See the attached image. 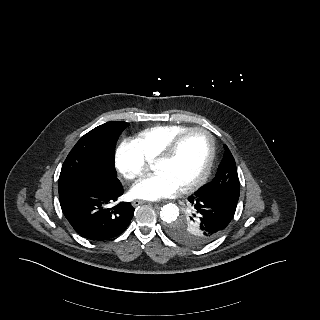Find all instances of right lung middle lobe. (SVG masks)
I'll return each mask as SVG.
<instances>
[{
  "instance_id": "1",
  "label": "right lung middle lobe",
  "mask_w": 320,
  "mask_h": 320,
  "mask_svg": "<svg viewBox=\"0 0 320 320\" xmlns=\"http://www.w3.org/2000/svg\"><path fill=\"white\" fill-rule=\"evenodd\" d=\"M127 126L124 121H111L82 136L62 166L58 188L92 180L117 182L115 147Z\"/></svg>"
}]
</instances>
